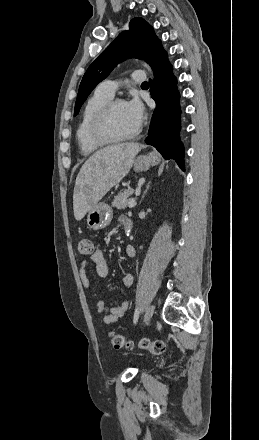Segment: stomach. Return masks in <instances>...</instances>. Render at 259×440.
Listing matches in <instances>:
<instances>
[{
	"label": "stomach",
	"mask_w": 259,
	"mask_h": 440,
	"mask_svg": "<svg viewBox=\"0 0 259 440\" xmlns=\"http://www.w3.org/2000/svg\"><path fill=\"white\" fill-rule=\"evenodd\" d=\"M159 162L158 154L151 152L148 155L138 156L133 162V167L136 172L147 171L151 166H155ZM112 218V208L106 203H97L88 212L87 225L90 229L101 230L109 226Z\"/></svg>",
	"instance_id": "obj_1"
}]
</instances>
